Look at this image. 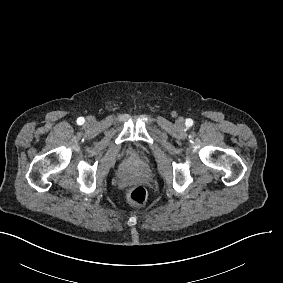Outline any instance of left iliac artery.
I'll return each mask as SVG.
<instances>
[{
    "instance_id": "obj_1",
    "label": "left iliac artery",
    "mask_w": 283,
    "mask_h": 283,
    "mask_svg": "<svg viewBox=\"0 0 283 283\" xmlns=\"http://www.w3.org/2000/svg\"><path fill=\"white\" fill-rule=\"evenodd\" d=\"M186 126L190 127L193 125V120L192 119H186Z\"/></svg>"
}]
</instances>
